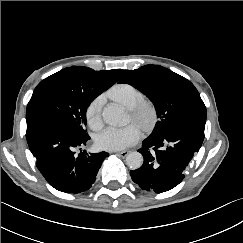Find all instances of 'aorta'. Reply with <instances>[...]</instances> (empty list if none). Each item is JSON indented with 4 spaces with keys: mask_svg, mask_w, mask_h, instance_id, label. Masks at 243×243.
Listing matches in <instances>:
<instances>
[{
    "mask_svg": "<svg viewBox=\"0 0 243 243\" xmlns=\"http://www.w3.org/2000/svg\"><path fill=\"white\" fill-rule=\"evenodd\" d=\"M103 120L109 125H124L127 121L123 108L118 105L111 103L107 105L102 113ZM143 156L137 152H130L126 157V164L131 169H138L142 166Z\"/></svg>",
    "mask_w": 243,
    "mask_h": 243,
    "instance_id": "1",
    "label": "aorta"
}]
</instances>
